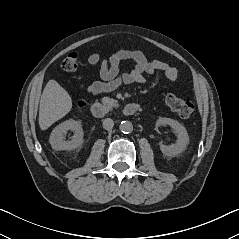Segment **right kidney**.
Here are the masks:
<instances>
[{"label":"right kidney","mask_w":239,"mask_h":239,"mask_svg":"<svg viewBox=\"0 0 239 239\" xmlns=\"http://www.w3.org/2000/svg\"><path fill=\"white\" fill-rule=\"evenodd\" d=\"M69 130L74 131V135L70 141H65L64 134ZM49 142L52 149L56 151L73 150L79 147L83 143V129L81 123L75 120L62 122L53 129L49 137Z\"/></svg>","instance_id":"right-kidney-1"}]
</instances>
